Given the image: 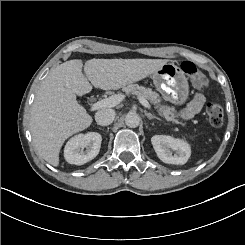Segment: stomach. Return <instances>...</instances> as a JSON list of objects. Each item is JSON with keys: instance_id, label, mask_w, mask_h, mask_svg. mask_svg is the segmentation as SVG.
Listing matches in <instances>:
<instances>
[{"instance_id": "1", "label": "stomach", "mask_w": 245, "mask_h": 245, "mask_svg": "<svg viewBox=\"0 0 245 245\" xmlns=\"http://www.w3.org/2000/svg\"><path fill=\"white\" fill-rule=\"evenodd\" d=\"M157 90L163 97L174 103L182 104L189 93L187 78L182 69L173 63H166L152 74Z\"/></svg>"}]
</instances>
